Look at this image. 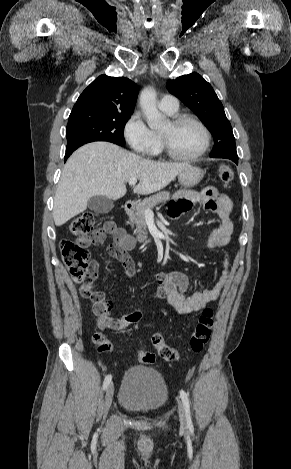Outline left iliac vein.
Returning <instances> with one entry per match:
<instances>
[{
    "mask_svg": "<svg viewBox=\"0 0 291 469\" xmlns=\"http://www.w3.org/2000/svg\"><path fill=\"white\" fill-rule=\"evenodd\" d=\"M178 412H179L180 424L182 427H185L186 426L185 410L180 402H179Z\"/></svg>",
    "mask_w": 291,
    "mask_h": 469,
    "instance_id": "left-iliac-vein-1",
    "label": "left iliac vein"
}]
</instances>
